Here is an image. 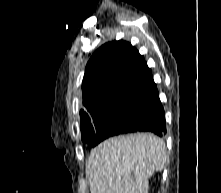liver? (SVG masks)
I'll return each instance as SVG.
<instances>
[{"label": "liver", "instance_id": "obj_1", "mask_svg": "<svg viewBox=\"0 0 221 193\" xmlns=\"http://www.w3.org/2000/svg\"><path fill=\"white\" fill-rule=\"evenodd\" d=\"M165 142L154 134L112 137L91 150V193H148L149 178L166 163Z\"/></svg>", "mask_w": 221, "mask_h": 193}]
</instances>
